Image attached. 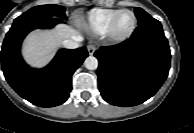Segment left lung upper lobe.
I'll use <instances>...</instances> for the list:
<instances>
[{
    "label": "left lung upper lobe",
    "instance_id": "obj_1",
    "mask_svg": "<svg viewBox=\"0 0 194 133\" xmlns=\"http://www.w3.org/2000/svg\"><path fill=\"white\" fill-rule=\"evenodd\" d=\"M135 13H136V17L138 18V24L143 23L149 19H151L152 17L145 12L142 8H135Z\"/></svg>",
    "mask_w": 194,
    "mask_h": 133
}]
</instances>
